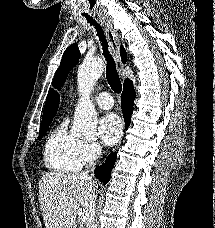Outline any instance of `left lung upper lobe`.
Listing matches in <instances>:
<instances>
[{
	"mask_svg": "<svg viewBox=\"0 0 215 228\" xmlns=\"http://www.w3.org/2000/svg\"><path fill=\"white\" fill-rule=\"evenodd\" d=\"M80 57V51L78 49V45L72 44L70 45L64 52L62 56V60L59 68L57 69L53 85L55 87H60L63 85L68 72L74 67V65L78 62Z\"/></svg>",
	"mask_w": 215,
	"mask_h": 228,
	"instance_id": "left-lung-upper-lobe-1",
	"label": "left lung upper lobe"
}]
</instances>
